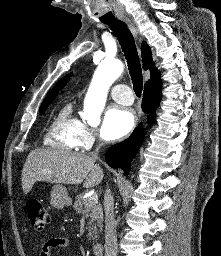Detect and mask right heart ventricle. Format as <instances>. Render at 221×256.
I'll return each instance as SVG.
<instances>
[{"label":"right heart ventricle","instance_id":"obj_1","mask_svg":"<svg viewBox=\"0 0 221 256\" xmlns=\"http://www.w3.org/2000/svg\"><path fill=\"white\" fill-rule=\"evenodd\" d=\"M78 119L73 115L71 103L64 104L53 116L48 126L44 142L46 145L67 151L76 145L75 131Z\"/></svg>","mask_w":221,"mask_h":256}]
</instances>
